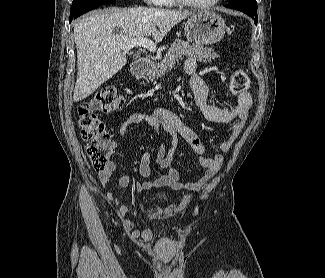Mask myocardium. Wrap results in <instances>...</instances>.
I'll use <instances>...</instances> for the list:
<instances>
[{
	"mask_svg": "<svg viewBox=\"0 0 325 278\" xmlns=\"http://www.w3.org/2000/svg\"><path fill=\"white\" fill-rule=\"evenodd\" d=\"M183 6L194 8V9H208L216 5L220 0H210L206 3H197L192 0H176Z\"/></svg>",
	"mask_w": 325,
	"mask_h": 278,
	"instance_id": "obj_1",
	"label": "myocardium"
}]
</instances>
